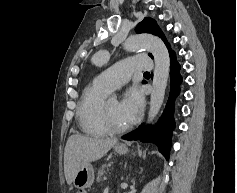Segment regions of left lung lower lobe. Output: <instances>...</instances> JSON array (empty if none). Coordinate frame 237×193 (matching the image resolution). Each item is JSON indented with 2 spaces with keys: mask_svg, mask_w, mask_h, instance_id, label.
<instances>
[{
  "mask_svg": "<svg viewBox=\"0 0 237 193\" xmlns=\"http://www.w3.org/2000/svg\"><path fill=\"white\" fill-rule=\"evenodd\" d=\"M171 58V91L165 110L155 126L141 125L135 131L124 135L125 140H140L141 142H150L158 146L159 151L168 160L171 147V131L174 128V99L179 92V85L182 82V77L179 74L180 65L176 61L175 53L168 47Z\"/></svg>",
  "mask_w": 237,
  "mask_h": 193,
  "instance_id": "1",
  "label": "left lung lower lobe"
}]
</instances>
